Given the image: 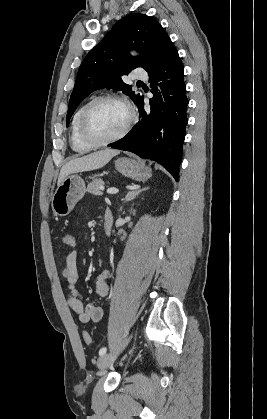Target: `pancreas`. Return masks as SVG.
<instances>
[{
  "label": "pancreas",
  "mask_w": 267,
  "mask_h": 419,
  "mask_svg": "<svg viewBox=\"0 0 267 419\" xmlns=\"http://www.w3.org/2000/svg\"><path fill=\"white\" fill-rule=\"evenodd\" d=\"M104 181L100 178L94 179L92 182H90L87 186V191L93 195H101V187H103Z\"/></svg>",
  "instance_id": "obj_1"
}]
</instances>
